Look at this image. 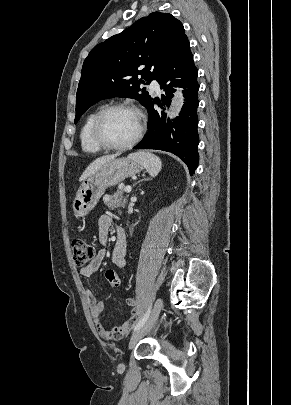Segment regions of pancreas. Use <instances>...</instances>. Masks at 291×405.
Returning <instances> with one entry per match:
<instances>
[{
	"label": "pancreas",
	"mask_w": 291,
	"mask_h": 405,
	"mask_svg": "<svg viewBox=\"0 0 291 405\" xmlns=\"http://www.w3.org/2000/svg\"><path fill=\"white\" fill-rule=\"evenodd\" d=\"M128 195L123 196V190H120L111 196H106L104 199L105 204L108 208L115 209L120 206L125 207L127 203Z\"/></svg>",
	"instance_id": "cf45deb5"
}]
</instances>
